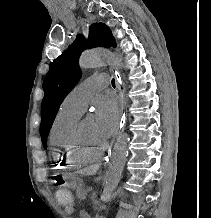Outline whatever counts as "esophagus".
Returning a JSON list of instances; mask_svg holds the SVG:
<instances>
[{
	"label": "esophagus",
	"instance_id": "obj_1",
	"mask_svg": "<svg viewBox=\"0 0 211 218\" xmlns=\"http://www.w3.org/2000/svg\"><path fill=\"white\" fill-rule=\"evenodd\" d=\"M113 73L115 75V79H116V86H117V90L119 92V97H120V101H121V109L119 110V113L121 115V117H128V112L125 110L127 109L129 106L127 104H125V102L127 103L129 100L125 97L127 96L124 92V81L122 80V73L121 72H116L115 70H113ZM121 123H118V128L122 131L124 128H126V122L127 119L126 118H121L120 119ZM115 136H112V142L115 144L117 141H119V134L116 132L114 134ZM113 152L114 149L113 148H106L105 149V153H104V159L101 160L102 163V167L103 168H108L109 164L111 163V160L113 159Z\"/></svg>",
	"mask_w": 211,
	"mask_h": 218
}]
</instances>
